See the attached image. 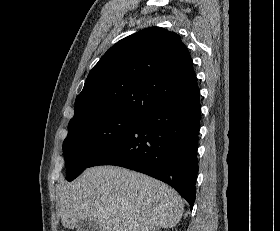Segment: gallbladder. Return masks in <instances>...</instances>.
<instances>
[{"instance_id": "gallbladder-1", "label": "gallbladder", "mask_w": 280, "mask_h": 231, "mask_svg": "<svg viewBox=\"0 0 280 231\" xmlns=\"http://www.w3.org/2000/svg\"><path fill=\"white\" fill-rule=\"evenodd\" d=\"M77 231H100V223L94 221V219H83V221H78Z\"/></svg>"}]
</instances>
